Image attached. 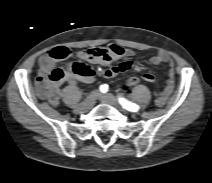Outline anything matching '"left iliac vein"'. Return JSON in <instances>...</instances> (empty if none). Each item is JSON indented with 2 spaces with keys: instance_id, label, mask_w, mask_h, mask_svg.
Wrapping results in <instances>:
<instances>
[{
  "instance_id": "1",
  "label": "left iliac vein",
  "mask_w": 212,
  "mask_h": 183,
  "mask_svg": "<svg viewBox=\"0 0 212 183\" xmlns=\"http://www.w3.org/2000/svg\"><path fill=\"white\" fill-rule=\"evenodd\" d=\"M98 99L104 103H108L110 105H113V106H118L119 105V102L117 100L116 97H114L113 95L111 94H100L98 96Z\"/></svg>"
}]
</instances>
